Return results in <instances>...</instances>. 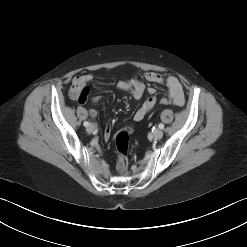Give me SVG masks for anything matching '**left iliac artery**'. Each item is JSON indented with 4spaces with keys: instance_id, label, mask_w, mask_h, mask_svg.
Instances as JSON below:
<instances>
[{
    "instance_id": "obj_1",
    "label": "left iliac artery",
    "mask_w": 247,
    "mask_h": 247,
    "mask_svg": "<svg viewBox=\"0 0 247 247\" xmlns=\"http://www.w3.org/2000/svg\"><path fill=\"white\" fill-rule=\"evenodd\" d=\"M159 128H160V129H163V128H164V124L160 123V124H159Z\"/></svg>"
}]
</instances>
